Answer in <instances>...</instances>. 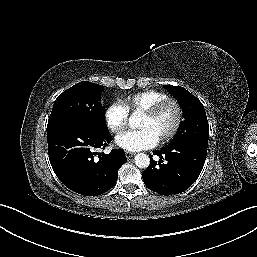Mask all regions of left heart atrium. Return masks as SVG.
Wrapping results in <instances>:
<instances>
[{
  "mask_svg": "<svg viewBox=\"0 0 257 257\" xmlns=\"http://www.w3.org/2000/svg\"><path fill=\"white\" fill-rule=\"evenodd\" d=\"M159 139L148 129L129 130L116 137V144L128 151L155 147Z\"/></svg>",
  "mask_w": 257,
  "mask_h": 257,
  "instance_id": "39dd6f15",
  "label": "left heart atrium"
}]
</instances>
